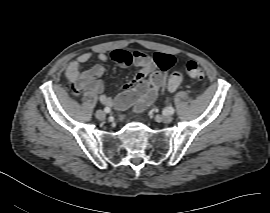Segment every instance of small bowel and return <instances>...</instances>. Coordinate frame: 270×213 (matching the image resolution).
Masks as SVG:
<instances>
[{
  "mask_svg": "<svg viewBox=\"0 0 270 213\" xmlns=\"http://www.w3.org/2000/svg\"><path fill=\"white\" fill-rule=\"evenodd\" d=\"M166 56H170L172 59L171 65L167 68L145 56L141 52L132 57L130 63L142 68L146 73L144 77L138 75L134 81L122 85L123 89H133L134 92L137 93V97L132 101L124 100L120 96L114 98L102 93L104 84L100 77L104 72V68L101 65H95L86 71L82 69V66L91 59V53L89 52H84L76 59L71 60L68 64L66 74L71 83V87L75 92L98 93L100 94V101L103 104L118 109L125 108L129 103H135V111L142 112L153 103L159 89L164 83L163 73L156 71V69L160 68L166 70L175 64V58L173 56ZM96 58L101 63H106L111 59V56L104 51H99L96 54ZM119 65L124 67L127 64L119 63Z\"/></svg>",
  "mask_w": 270,
  "mask_h": 213,
  "instance_id": "c3829d8e",
  "label": "small bowel"
}]
</instances>
